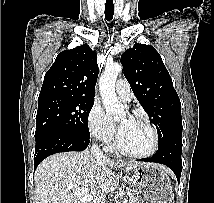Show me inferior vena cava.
<instances>
[{"mask_svg":"<svg viewBox=\"0 0 214 203\" xmlns=\"http://www.w3.org/2000/svg\"><path fill=\"white\" fill-rule=\"evenodd\" d=\"M90 153L93 155V156H96L98 158H101V159H108L107 156L105 154H103V152L100 150V148L98 147V145L96 144H93L91 149H90ZM99 203H106L105 202V197H102L99 201Z\"/></svg>","mask_w":214,"mask_h":203,"instance_id":"602c4592","label":"inferior vena cava"}]
</instances>
